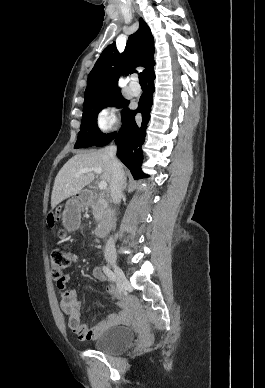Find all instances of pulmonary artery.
<instances>
[{
  "label": "pulmonary artery",
  "mask_w": 265,
  "mask_h": 388,
  "mask_svg": "<svg viewBox=\"0 0 265 388\" xmlns=\"http://www.w3.org/2000/svg\"><path fill=\"white\" fill-rule=\"evenodd\" d=\"M130 81L131 82H138L139 81V76L138 75H131L130 76ZM128 88H129V90H134L132 92V94L137 96L139 94L138 90H140L141 85H140V83H129Z\"/></svg>",
  "instance_id": "pulmonary-artery-1"
}]
</instances>
